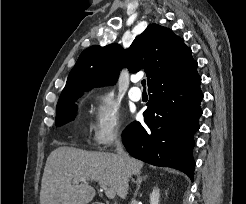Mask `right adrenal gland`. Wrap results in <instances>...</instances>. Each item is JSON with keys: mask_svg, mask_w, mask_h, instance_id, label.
<instances>
[{"mask_svg": "<svg viewBox=\"0 0 246 204\" xmlns=\"http://www.w3.org/2000/svg\"><path fill=\"white\" fill-rule=\"evenodd\" d=\"M142 174V172H139L138 174H137V180H136V184H137V187H136V190H135V192H134V197H136V196H142V194H139V190H140V187H141V183H142V181H144L147 177H148V175H141Z\"/></svg>", "mask_w": 246, "mask_h": 204, "instance_id": "right-adrenal-gland-1", "label": "right adrenal gland"}]
</instances>
